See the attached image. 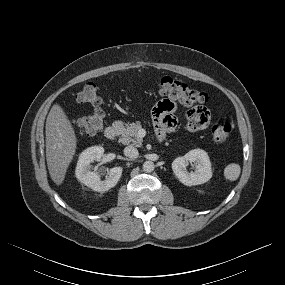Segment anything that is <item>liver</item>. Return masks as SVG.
<instances>
[{
  "mask_svg": "<svg viewBox=\"0 0 285 285\" xmlns=\"http://www.w3.org/2000/svg\"><path fill=\"white\" fill-rule=\"evenodd\" d=\"M75 130L59 104H54L46 119V160L51 179L61 185L76 151Z\"/></svg>",
  "mask_w": 285,
  "mask_h": 285,
  "instance_id": "1",
  "label": "liver"
}]
</instances>
